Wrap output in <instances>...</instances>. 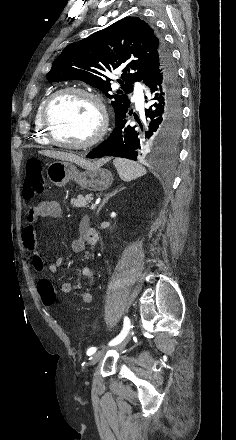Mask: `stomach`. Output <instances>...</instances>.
<instances>
[{"mask_svg":"<svg viewBox=\"0 0 236 440\" xmlns=\"http://www.w3.org/2000/svg\"><path fill=\"white\" fill-rule=\"evenodd\" d=\"M49 180L58 187L65 186L73 180L81 188L89 191H102L107 189L113 181L112 173L101 167H84L80 171L70 161H55L47 168Z\"/></svg>","mask_w":236,"mask_h":440,"instance_id":"obj_1","label":"stomach"}]
</instances>
